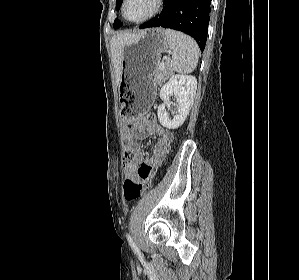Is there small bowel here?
Instances as JSON below:
<instances>
[{
	"label": "small bowel",
	"mask_w": 299,
	"mask_h": 280,
	"mask_svg": "<svg viewBox=\"0 0 299 280\" xmlns=\"http://www.w3.org/2000/svg\"><path fill=\"white\" fill-rule=\"evenodd\" d=\"M129 139L128 156L124 164V173L128 179H134L137 175L138 167L141 163L158 158L164 147L171 143L172 134L163 126H161L155 119L147 124H133L131 123L126 131ZM150 135H156L157 140L152 146L151 157L144 160L142 146L137 140L144 139ZM134 137L136 140H132Z\"/></svg>",
	"instance_id": "1"
}]
</instances>
